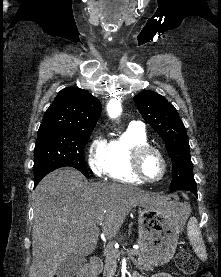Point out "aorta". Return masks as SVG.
Returning <instances> with one entry per match:
<instances>
[{
	"label": "aorta",
	"mask_w": 221,
	"mask_h": 277,
	"mask_svg": "<svg viewBox=\"0 0 221 277\" xmlns=\"http://www.w3.org/2000/svg\"><path fill=\"white\" fill-rule=\"evenodd\" d=\"M107 110H108L110 117L116 118L121 112L119 101H117V100L111 101L108 105Z\"/></svg>",
	"instance_id": "aorta-1"
}]
</instances>
